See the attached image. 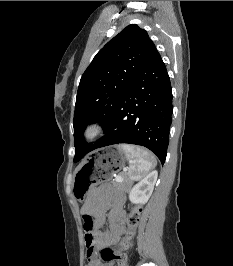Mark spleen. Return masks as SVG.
Returning <instances> with one entry per match:
<instances>
[{"label":"spleen","mask_w":233,"mask_h":266,"mask_svg":"<svg viewBox=\"0 0 233 266\" xmlns=\"http://www.w3.org/2000/svg\"><path fill=\"white\" fill-rule=\"evenodd\" d=\"M120 147L129 162L128 177L130 181L142 179L156 166L155 157L147 150L129 144H121Z\"/></svg>","instance_id":"1"}]
</instances>
